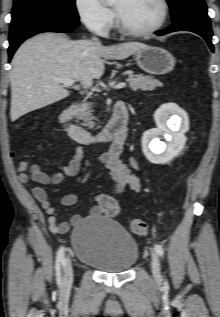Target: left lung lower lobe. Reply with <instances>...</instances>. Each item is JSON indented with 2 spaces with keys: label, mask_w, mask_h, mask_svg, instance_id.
<instances>
[{
  "label": "left lung lower lobe",
  "mask_w": 220,
  "mask_h": 317,
  "mask_svg": "<svg viewBox=\"0 0 220 317\" xmlns=\"http://www.w3.org/2000/svg\"><path fill=\"white\" fill-rule=\"evenodd\" d=\"M174 31H191L202 36L213 51L211 42L212 29L210 18L207 15V8H191L178 20L173 21V24L161 32H156L157 35H165Z\"/></svg>",
  "instance_id": "obj_1"
}]
</instances>
